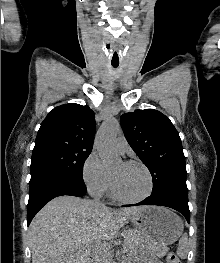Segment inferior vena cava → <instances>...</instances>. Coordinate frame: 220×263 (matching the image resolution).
<instances>
[{"label": "inferior vena cava", "mask_w": 220, "mask_h": 263, "mask_svg": "<svg viewBox=\"0 0 220 263\" xmlns=\"http://www.w3.org/2000/svg\"><path fill=\"white\" fill-rule=\"evenodd\" d=\"M100 198H101V195H96V196H94L93 203L96 204V205H98V206H100V207H102V206H104V204H102V203L100 202Z\"/></svg>", "instance_id": "inferior-vena-cava-1"}]
</instances>
